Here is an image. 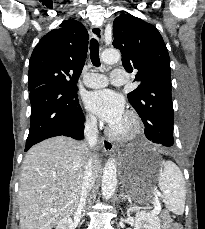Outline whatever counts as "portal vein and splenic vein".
I'll use <instances>...</instances> for the list:
<instances>
[{
	"label": "portal vein and splenic vein",
	"mask_w": 205,
	"mask_h": 229,
	"mask_svg": "<svg viewBox=\"0 0 205 229\" xmlns=\"http://www.w3.org/2000/svg\"><path fill=\"white\" fill-rule=\"evenodd\" d=\"M160 210H161L160 203L156 199H154V210H153V212L157 214L160 212Z\"/></svg>",
	"instance_id": "18ae733b"
}]
</instances>
